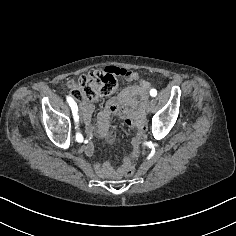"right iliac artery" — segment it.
<instances>
[{
    "label": "right iliac artery",
    "instance_id": "obj_1",
    "mask_svg": "<svg viewBox=\"0 0 236 236\" xmlns=\"http://www.w3.org/2000/svg\"><path fill=\"white\" fill-rule=\"evenodd\" d=\"M67 101H68V103H69V105L72 109V113H73L75 122H78L79 121V116L77 115L78 114L77 103H75V101L71 97H68V96H67ZM76 140L78 142H83V136L80 133H77L76 134Z\"/></svg>",
    "mask_w": 236,
    "mask_h": 236
}]
</instances>
